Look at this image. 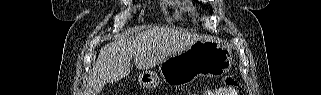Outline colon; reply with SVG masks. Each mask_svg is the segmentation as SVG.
I'll return each mask as SVG.
<instances>
[{
    "instance_id": "colon-1",
    "label": "colon",
    "mask_w": 321,
    "mask_h": 95,
    "mask_svg": "<svg viewBox=\"0 0 321 95\" xmlns=\"http://www.w3.org/2000/svg\"><path fill=\"white\" fill-rule=\"evenodd\" d=\"M222 82L227 87H235L237 85V80L232 75L223 76Z\"/></svg>"
}]
</instances>
